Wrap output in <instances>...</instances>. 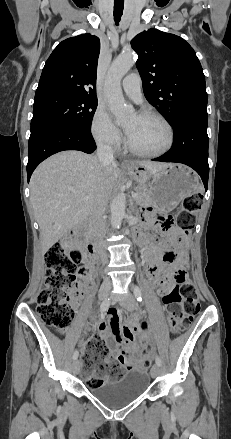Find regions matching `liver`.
Here are the masks:
<instances>
[{
    "label": "liver",
    "mask_w": 231,
    "mask_h": 439,
    "mask_svg": "<svg viewBox=\"0 0 231 439\" xmlns=\"http://www.w3.org/2000/svg\"><path fill=\"white\" fill-rule=\"evenodd\" d=\"M137 164L152 174L171 165L149 161ZM120 175L118 164L102 167L98 157L80 151L59 152L36 168L30 193L43 254L91 215L102 187L110 196Z\"/></svg>",
    "instance_id": "obj_1"
}]
</instances>
